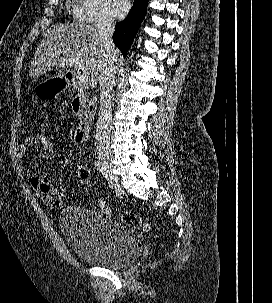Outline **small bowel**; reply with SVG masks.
I'll return each mask as SVG.
<instances>
[{
  "mask_svg": "<svg viewBox=\"0 0 272 303\" xmlns=\"http://www.w3.org/2000/svg\"><path fill=\"white\" fill-rule=\"evenodd\" d=\"M35 140V135L28 136L23 143L17 146L16 156L19 159L24 158L27 151L35 147ZM22 174L30 180L32 186L42 197L52 191H55V178L52 175L46 172L33 174L32 170L27 166L22 167Z\"/></svg>",
  "mask_w": 272,
  "mask_h": 303,
  "instance_id": "obj_1",
  "label": "small bowel"
}]
</instances>
